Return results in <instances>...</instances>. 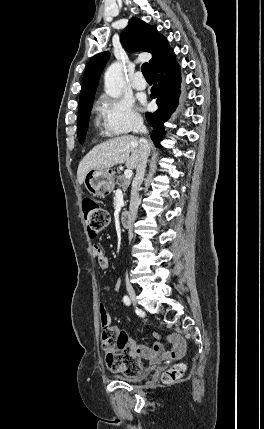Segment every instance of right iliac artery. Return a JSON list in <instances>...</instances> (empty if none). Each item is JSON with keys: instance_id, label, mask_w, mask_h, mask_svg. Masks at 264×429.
<instances>
[{"instance_id": "1", "label": "right iliac artery", "mask_w": 264, "mask_h": 429, "mask_svg": "<svg viewBox=\"0 0 264 429\" xmlns=\"http://www.w3.org/2000/svg\"><path fill=\"white\" fill-rule=\"evenodd\" d=\"M123 302L127 306H129L131 304V301H130L129 297L126 296V295L123 297Z\"/></svg>"}]
</instances>
